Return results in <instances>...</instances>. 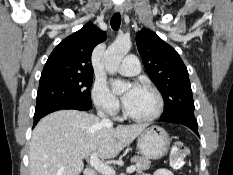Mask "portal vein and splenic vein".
<instances>
[{
  "label": "portal vein and splenic vein",
  "instance_id": "18ae733b",
  "mask_svg": "<svg viewBox=\"0 0 233 175\" xmlns=\"http://www.w3.org/2000/svg\"><path fill=\"white\" fill-rule=\"evenodd\" d=\"M89 163L90 165L95 169L97 170L98 172L102 173L103 175H115V170L103 163L97 156V154L93 153L91 156H90V160H89ZM136 170V166L132 165V166H129L126 171L127 173H133L134 171Z\"/></svg>",
  "mask_w": 233,
  "mask_h": 175
}]
</instances>
